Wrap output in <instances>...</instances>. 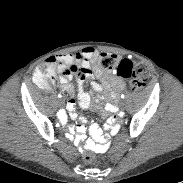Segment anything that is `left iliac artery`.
Returning a JSON list of instances; mask_svg holds the SVG:
<instances>
[{
	"label": "left iliac artery",
	"mask_w": 183,
	"mask_h": 183,
	"mask_svg": "<svg viewBox=\"0 0 183 183\" xmlns=\"http://www.w3.org/2000/svg\"><path fill=\"white\" fill-rule=\"evenodd\" d=\"M121 98H125V95H124V94H122V95H121Z\"/></svg>",
	"instance_id": "1"
}]
</instances>
